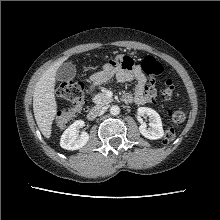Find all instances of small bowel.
Instances as JSON below:
<instances>
[{"mask_svg":"<svg viewBox=\"0 0 220 220\" xmlns=\"http://www.w3.org/2000/svg\"><path fill=\"white\" fill-rule=\"evenodd\" d=\"M111 77H114L120 83L136 81L134 93L123 94V99L127 102H134L139 105L147 104L150 102L147 99V95H153L155 92L154 88L148 86L147 79L141 70L133 65L123 69L112 68L106 65L100 72L91 77L89 91L93 92L99 85Z\"/></svg>","mask_w":220,"mask_h":220,"instance_id":"c3829d8e","label":"small bowel"}]
</instances>
